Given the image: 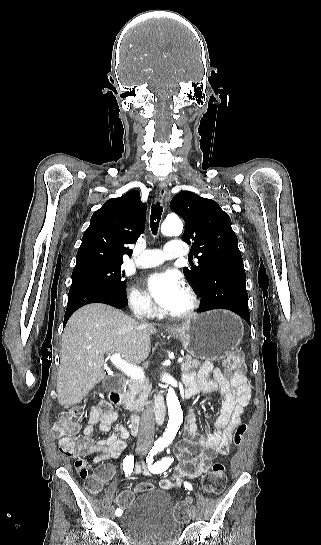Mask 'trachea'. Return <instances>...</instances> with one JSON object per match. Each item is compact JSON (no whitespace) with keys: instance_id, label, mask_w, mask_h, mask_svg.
<instances>
[{"instance_id":"3493384b","label":"trachea","mask_w":321,"mask_h":545,"mask_svg":"<svg viewBox=\"0 0 321 545\" xmlns=\"http://www.w3.org/2000/svg\"><path fill=\"white\" fill-rule=\"evenodd\" d=\"M162 212H163V207L160 202H156L152 204L151 215H150V228L152 230L153 235L157 234Z\"/></svg>"}]
</instances>
